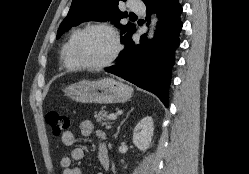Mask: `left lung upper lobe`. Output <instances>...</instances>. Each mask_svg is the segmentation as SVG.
Wrapping results in <instances>:
<instances>
[{"mask_svg": "<svg viewBox=\"0 0 249 174\" xmlns=\"http://www.w3.org/2000/svg\"><path fill=\"white\" fill-rule=\"evenodd\" d=\"M121 0H73L70 10L59 26L57 39L68 31L71 27L79 25L85 21H111L116 24L122 33H126L121 37V42L135 32V25L128 23L123 26L119 24L121 18L128 16L127 12H121L118 8ZM126 1V0H122ZM145 3L148 0H143Z\"/></svg>", "mask_w": 249, "mask_h": 174, "instance_id": "5c2ea615", "label": "left lung upper lobe"}]
</instances>
